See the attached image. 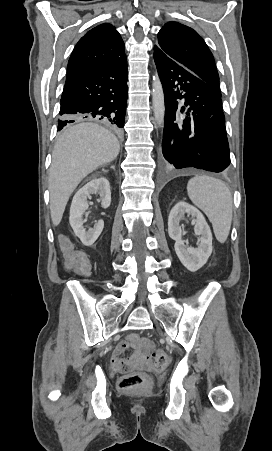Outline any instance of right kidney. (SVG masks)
I'll return each instance as SVG.
<instances>
[{
	"label": "right kidney",
	"mask_w": 272,
	"mask_h": 451,
	"mask_svg": "<svg viewBox=\"0 0 272 451\" xmlns=\"http://www.w3.org/2000/svg\"><path fill=\"white\" fill-rule=\"evenodd\" d=\"M91 194L100 196L98 202H101L102 208H109L111 204V190L108 180L106 178H94L86 186L80 188L72 200L69 218L70 226L73 227L75 235L80 237L84 245H92L104 227L103 220H98V222H95L94 227H89V229L83 226L86 220H82V218L85 210L89 208L88 198H91Z\"/></svg>",
	"instance_id": "right-kidney-1"
}]
</instances>
